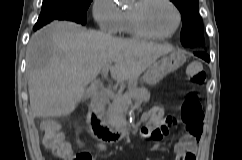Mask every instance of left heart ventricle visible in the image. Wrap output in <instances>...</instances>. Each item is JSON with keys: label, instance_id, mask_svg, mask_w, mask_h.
Returning <instances> with one entry per match:
<instances>
[{"label": "left heart ventricle", "instance_id": "b2bd125f", "mask_svg": "<svg viewBox=\"0 0 242 160\" xmlns=\"http://www.w3.org/2000/svg\"><path fill=\"white\" fill-rule=\"evenodd\" d=\"M134 2L130 8H134ZM141 21L144 27L154 34H168L176 25V13L164 0H151L141 10Z\"/></svg>", "mask_w": 242, "mask_h": 160}]
</instances>
